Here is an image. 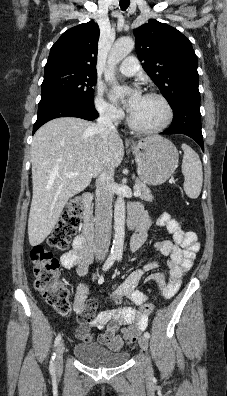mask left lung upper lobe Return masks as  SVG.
I'll return each mask as SVG.
<instances>
[{
	"mask_svg": "<svg viewBox=\"0 0 227 396\" xmlns=\"http://www.w3.org/2000/svg\"><path fill=\"white\" fill-rule=\"evenodd\" d=\"M142 67L172 107L186 96H200L197 56L191 42L177 29L150 20L134 29Z\"/></svg>",
	"mask_w": 227,
	"mask_h": 396,
	"instance_id": "5c2ea615",
	"label": "left lung upper lobe"
}]
</instances>
